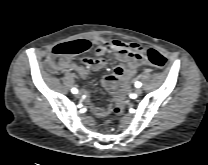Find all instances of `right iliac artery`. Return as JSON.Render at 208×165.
Here are the masks:
<instances>
[{
  "label": "right iliac artery",
  "mask_w": 208,
  "mask_h": 165,
  "mask_svg": "<svg viewBox=\"0 0 208 165\" xmlns=\"http://www.w3.org/2000/svg\"><path fill=\"white\" fill-rule=\"evenodd\" d=\"M71 91L73 94H76L78 92V90L76 88H73Z\"/></svg>",
  "instance_id": "right-iliac-artery-1"
}]
</instances>
